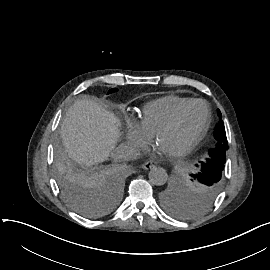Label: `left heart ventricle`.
<instances>
[{
    "label": "left heart ventricle",
    "instance_id": "left-heart-ventricle-1",
    "mask_svg": "<svg viewBox=\"0 0 270 270\" xmlns=\"http://www.w3.org/2000/svg\"><path fill=\"white\" fill-rule=\"evenodd\" d=\"M204 122V107L201 104L195 105L184 114L182 120L174 129L160 134L158 139L178 151L196 136Z\"/></svg>",
    "mask_w": 270,
    "mask_h": 270
}]
</instances>
